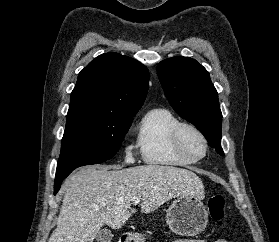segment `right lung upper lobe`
Returning a JSON list of instances; mask_svg holds the SVG:
<instances>
[{"instance_id":"right-lung-upper-lobe-1","label":"right lung upper lobe","mask_w":279,"mask_h":242,"mask_svg":"<svg viewBox=\"0 0 279 242\" xmlns=\"http://www.w3.org/2000/svg\"><path fill=\"white\" fill-rule=\"evenodd\" d=\"M148 82V69L139 61L115 52L102 54L79 73L68 115L133 117L145 100Z\"/></svg>"}]
</instances>
